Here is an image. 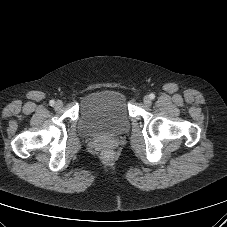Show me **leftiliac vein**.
Masks as SVG:
<instances>
[{
	"label": "left iliac vein",
	"mask_w": 227,
	"mask_h": 227,
	"mask_svg": "<svg viewBox=\"0 0 227 227\" xmlns=\"http://www.w3.org/2000/svg\"><path fill=\"white\" fill-rule=\"evenodd\" d=\"M143 101H144V104H145V105H150V104H151V99H150L149 96H145V97L143 98Z\"/></svg>",
	"instance_id": "4c4485c4"
}]
</instances>
